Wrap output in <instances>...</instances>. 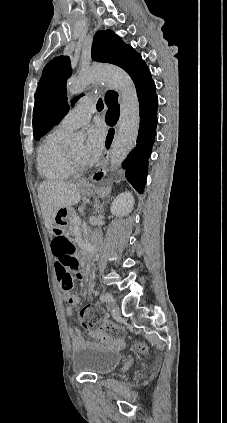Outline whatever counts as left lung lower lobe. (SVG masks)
Here are the masks:
<instances>
[{
	"instance_id": "0a47b994",
	"label": "left lung lower lobe",
	"mask_w": 227,
	"mask_h": 423,
	"mask_svg": "<svg viewBox=\"0 0 227 423\" xmlns=\"http://www.w3.org/2000/svg\"><path fill=\"white\" fill-rule=\"evenodd\" d=\"M136 91L140 105V127L135 148L128 155L122 166L127 180L139 193H143L148 159L155 141L157 125L158 99L150 72L136 85ZM119 114L118 105L109 108L106 115L107 124L110 126L115 125Z\"/></svg>"
}]
</instances>
